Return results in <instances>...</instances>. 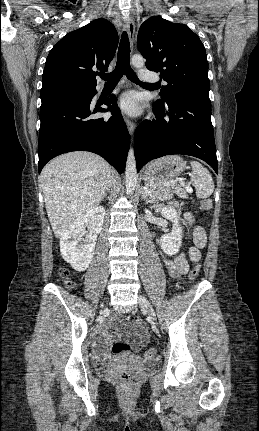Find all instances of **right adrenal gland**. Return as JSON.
<instances>
[{"instance_id":"2a0ac1e0","label":"right adrenal gland","mask_w":259,"mask_h":431,"mask_svg":"<svg viewBox=\"0 0 259 431\" xmlns=\"http://www.w3.org/2000/svg\"><path fill=\"white\" fill-rule=\"evenodd\" d=\"M110 187H111V180H109V182H108V185H107V188H106V191H105V193H104L103 198H105V197H106L107 192H109V190H110Z\"/></svg>"}]
</instances>
